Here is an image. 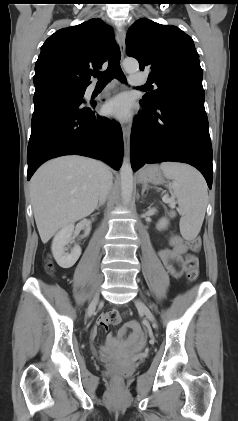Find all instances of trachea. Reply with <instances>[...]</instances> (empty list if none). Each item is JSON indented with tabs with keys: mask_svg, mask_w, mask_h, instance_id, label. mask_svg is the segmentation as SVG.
<instances>
[{
	"mask_svg": "<svg viewBox=\"0 0 238 421\" xmlns=\"http://www.w3.org/2000/svg\"><path fill=\"white\" fill-rule=\"evenodd\" d=\"M120 51L117 46L112 50L108 68L104 72H93L92 75L98 79L99 84H107L113 78L118 79L121 82L126 81V77L120 67Z\"/></svg>",
	"mask_w": 238,
	"mask_h": 421,
	"instance_id": "obj_1",
	"label": "trachea"
}]
</instances>
